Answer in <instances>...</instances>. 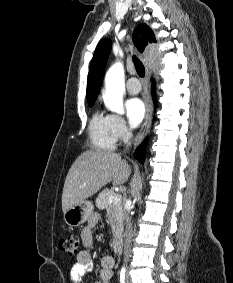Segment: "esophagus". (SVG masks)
Listing matches in <instances>:
<instances>
[{"label": "esophagus", "mask_w": 233, "mask_h": 283, "mask_svg": "<svg viewBox=\"0 0 233 283\" xmlns=\"http://www.w3.org/2000/svg\"><path fill=\"white\" fill-rule=\"evenodd\" d=\"M150 73H147L146 75V80H145V96H144V102L146 106V114L144 118V122L142 124V127L137 134L135 138L134 145H138L143 141V139L147 136L151 123H152V116H153V106H152V101H151V96H150Z\"/></svg>", "instance_id": "1"}]
</instances>
